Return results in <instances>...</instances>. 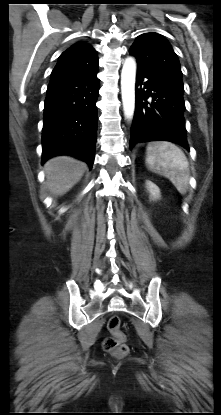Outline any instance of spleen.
<instances>
[{"instance_id": "obj_1", "label": "spleen", "mask_w": 221, "mask_h": 415, "mask_svg": "<svg viewBox=\"0 0 221 415\" xmlns=\"http://www.w3.org/2000/svg\"><path fill=\"white\" fill-rule=\"evenodd\" d=\"M148 169L168 178L179 193L185 194L189 182V163L175 144L161 141L150 143L146 150Z\"/></svg>"}]
</instances>
